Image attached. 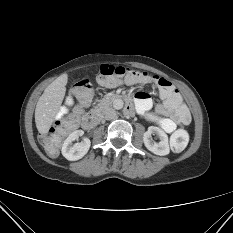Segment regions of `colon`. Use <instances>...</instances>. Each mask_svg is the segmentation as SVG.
Segmentation results:
<instances>
[{"label": "colon", "instance_id": "1", "mask_svg": "<svg viewBox=\"0 0 233 233\" xmlns=\"http://www.w3.org/2000/svg\"><path fill=\"white\" fill-rule=\"evenodd\" d=\"M147 77H152V81L158 89L159 96L168 100L174 107V118L181 120L183 118L181 96L173 84L165 78L151 76L147 72L122 66L102 64L99 68L98 82L106 87H115L122 83H135ZM92 93L93 86L87 79L80 80L70 91L66 100V106L60 111L55 126L41 136V142L50 154H56L63 138L76 129L81 107L86 101L91 99ZM188 141V133L185 130H178L172 135L170 146L173 151L180 152L185 149Z\"/></svg>", "mask_w": 233, "mask_h": 233}]
</instances>
